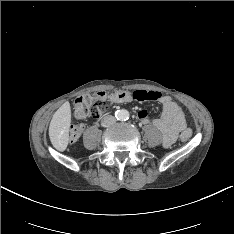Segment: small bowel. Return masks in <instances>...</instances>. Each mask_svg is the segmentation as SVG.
Here are the masks:
<instances>
[{
    "instance_id": "obj_1",
    "label": "small bowel",
    "mask_w": 234,
    "mask_h": 234,
    "mask_svg": "<svg viewBox=\"0 0 234 234\" xmlns=\"http://www.w3.org/2000/svg\"><path fill=\"white\" fill-rule=\"evenodd\" d=\"M146 92L158 93L154 91ZM130 101H134V99L131 96H128L118 103ZM157 101L162 106V114L159 118L154 119L152 124L162 132L163 145L169 147L177 140L178 135L187 129V121L182 108L170 96L161 95L159 93ZM138 118L143 124H149L150 122L148 113L145 109L138 111Z\"/></svg>"
}]
</instances>
